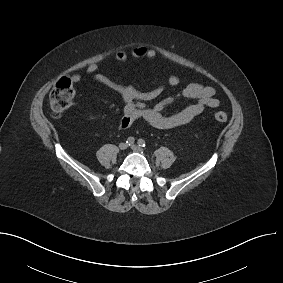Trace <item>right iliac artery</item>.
I'll list each match as a JSON object with an SVG mask.
<instances>
[{"instance_id": "obj_1", "label": "right iliac artery", "mask_w": 283, "mask_h": 283, "mask_svg": "<svg viewBox=\"0 0 283 283\" xmlns=\"http://www.w3.org/2000/svg\"><path fill=\"white\" fill-rule=\"evenodd\" d=\"M134 138L133 137H129L126 141V143L130 146V145H133L134 144Z\"/></svg>"}]
</instances>
